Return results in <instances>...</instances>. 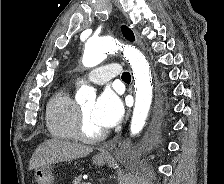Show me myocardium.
Returning a JSON list of instances; mask_svg holds the SVG:
<instances>
[{
  "mask_svg": "<svg viewBox=\"0 0 224 184\" xmlns=\"http://www.w3.org/2000/svg\"><path fill=\"white\" fill-rule=\"evenodd\" d=\"M76 136L79 140L89 143H94L103 140L107 132L102 130L96 134L88 133L85 124V116L81 106L77 108L76 122H75Z\"/></svg>",
  "mask_w": 224,
  "mask_h": 184,
  "instance_id": "1",
  "label": "myocardium"
}]
</instances>
